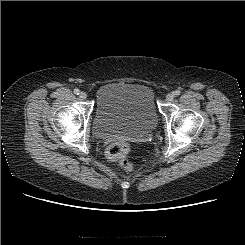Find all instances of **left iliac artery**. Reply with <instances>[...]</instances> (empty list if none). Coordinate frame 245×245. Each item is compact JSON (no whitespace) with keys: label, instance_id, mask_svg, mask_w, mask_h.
I'll list each match as a JSON object with an SVG mask.
<instances>
[{"label":"left iliac artery","instance_id":"obj_1","mask_svg":"<svg viewBox=\"0 0 245 245\" xmlns=\"http://www.w3.org/2000/svg\"><path fill=\"white\" fill-rule=\"evenodd\" d=\"M173 95H175V96L180 95V91H179V90L174 91V92H173Z\"/></svg>","mask_w":245,"mask_h":245}]
</instances>
